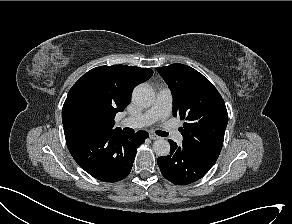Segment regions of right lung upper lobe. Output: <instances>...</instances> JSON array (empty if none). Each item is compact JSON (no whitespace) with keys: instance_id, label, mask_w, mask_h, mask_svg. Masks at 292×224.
<instances>
[{"instance_id":"right-lung-upper-lobe-1","label":"right lung upper lobe","mask_w":292,"mask_h":224,"mask_svg":"<svg viewBox=\"0 0 292 224\" xmlns=\"http://www.w3.org/2000/svg\"><path fill=\"white\" fill-rule=\"evenodd\" d=\"M153 75L149 68L127 65L96 67L84 74L70 89L62 110L64 133L79 132L67 122V109L78 97L93 101L102 111V131L114 132V118L129 104L132 90ZM122 131L119 128L115 132ZM81 133V132H80Z\"/></svg>"}]
</instances>
